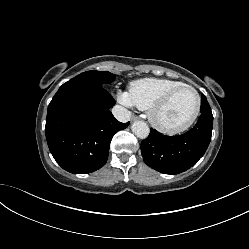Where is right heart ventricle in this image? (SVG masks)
<instances>
[{"label":"right heart ventricle","instance_id":"1","mask_svg":"<svg viewBox=\"0 0 249 249\" xmlns=\"http://www.w3.org/2000/svg\"><path fill=\"white\" fill-rule=\"evenodd\" d=\"M184 82L166 78H143L133 81L129 86V96L133 105L148 110L168 90Z\"/></svg>","mask_w":249,"mask_h":249}]
</instances>
